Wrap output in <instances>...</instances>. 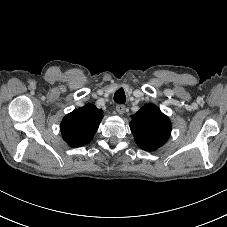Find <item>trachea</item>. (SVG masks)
Masks as SVG:
<instances>
[{
	"label": "trachea",
	"instance_id": "obj_1",
	"mask_svg": "<svg viewBox=\"0 0 227 227\" xmlns=\"http://www.w3.org/2000/svg\"><path fill=\"white\" fill-rule=\"evenodd\" d=\"M114 101L118 104H124L126 101L125 92L122 88L117 90L114 94Z\"/></svg>",
	"mask_w": 227,
	"mask_h": 227
}]
</instances>
